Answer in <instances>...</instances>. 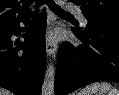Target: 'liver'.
Instances as JSON below:
<instances>
[{
  "mask_svg": "<svg viewBox=\"0 0 119 95\" xmlns=\"http://www.w3.org/2000/svg\"><path fill=\"white\" fill-rule=\"evenodd\" d=\"M0 95H12V94L8 90H4V89L0 88Z\"/></svg>",
  "mask_w": 119,
  "mask_h": 95,
  "instance_id": "6515ba94",
  "label": "liver"
}]
</instances>
